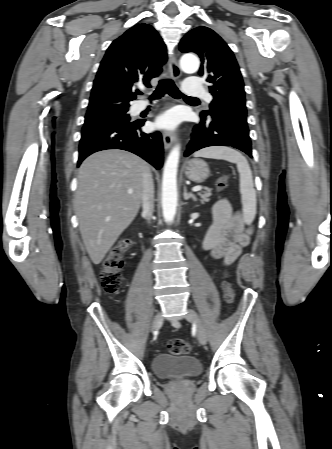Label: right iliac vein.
I'll return each instance as SVG.
<instances>
[{"instance_id":"right-iliac-vein-1","label":"right iliac vein","mask_w":332,"mask_h":449,"mask_svg":"<svg viewBox=\"0 0 332 449\" xmlns=\"http://www.w3.org/2000/svg\"><path fill=\"white\" fill-rule=\"evenodd\" d=\"M162 316L160 313L156 314V316L154 317L152 324H151V330H155L157 328H159L162 325Z\"/></svg>"}]
</instances>
